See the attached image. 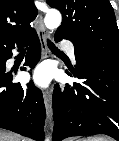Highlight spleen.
<instances>
[{"label": "spleen", "mask_w": 119, "mask_h": 141, "mask_svg": "<svg viewBox=\"0 0 119 141\" xmlns=\"http://www.w3.org/2000/svg\"><path fill=\"white\" fill-rule=\"evenodd\" d=\"M79 141H108V140L103 137H88L86 139H81Z\"/></svg>", "instance_id": "3e777b00"}]
</instances>
